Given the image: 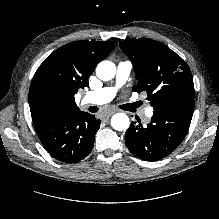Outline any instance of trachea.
Wrapping results in <instances>:
<instances>
[{"label": "trachea", "instance_id": "obj_1", "mask_svg": "<svg viewBox=\"0 0 219 219\" xmlns=\"http://www.w3.org/2000/svg\"><path fill=\"white\" fill-rule=\"evenodd\" d=\"M98 110H99V109H98L97 106H90V107H89V111L92 112V113L97 112Z\"/></svg>", "mask_w": 219, "mask_h": 219}]
</instances>
